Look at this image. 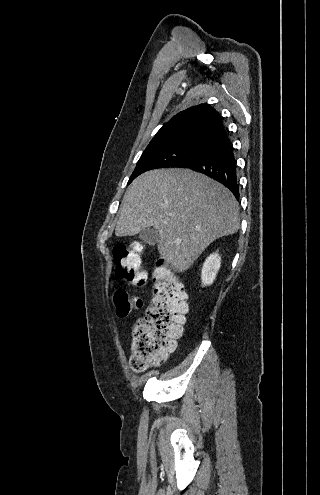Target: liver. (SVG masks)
<instances>
[{
	"label": "liver",
	"mask_w": 320,
	"mask_h": 495,
	"mask_svg": "<svg viewBox=\"0 0 320 495\" xmlns=\"http://www.w3.org/2000/svg\"><path fill=\"white\" fill-rule=\"evenodd\" d=\"M150 226L159 232V253L183 272L213 241L238 231L239 204L229 189L204 174L152 170L127 189L115 235L134 236Z\"/></svg>",
	"instance_id": "liver-1"
}]
</instances>
